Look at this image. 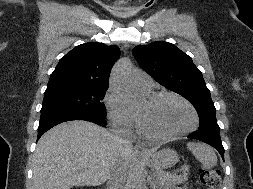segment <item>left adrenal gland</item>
I'll return each mask as SVG.
<instances>
[{
  "label": "left adrenal gland",
  "mask_w": 253,
  "mask_h": 189,
  "mask_svg": "<svg viewBox=\"0 0 253 189\" xmlns=\"http://www.w3.org/2000/svg\"><path fill=\"white\" fill-rule=\"evenodd\" d=\"M155 187H156V184H153V187H152V188H154V189H155Z\"/></svg>",
  "instance_id": "1"
}]
</instances>
